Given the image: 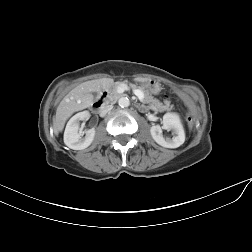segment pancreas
<instances>
[{"label": "pancreas", "mask_w": 252, "mask_h": 252, "mask_svg": "<svg viewBox=\"0 0 252 252\" xmlns=\"http://www.w3.org/2000/svg\"><path fill=\"white\" fill-rule=\"evenodd\" d=\"M119 83H122V80H119ZM128 83L131 88H137V89H140L143 94H144V99L143 101L147 102V103H151V104H154L157 106L158 108V111L162 112V111H170L172 110L173 108V105L170 104V101H164V103L160 102L159 100L157 99H154L149 92H147L146 90L143 89V87H141L139 84H136L135 85V82H132L131 84V81L129 80H125L123 81V84H126ZM120 84H118L111 92V97H116L118 96V93H117V90H118V87H119ZM150 104V105H151Z\"/></svg>", "instance_id": "cf45deb5"}]
</instances>
